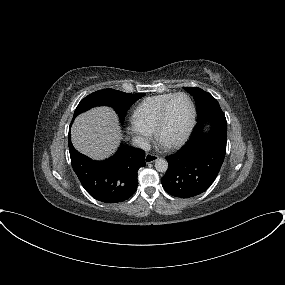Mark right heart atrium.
<instances>
[{"mask_svg": "<svg viewBox=\"0 0 285 285\" xmlns=\"http://www.w3.org/2000/svg\"><path fill=\"white\" fill-rule=\"evenodd\" d=\"M129 131L134 135L137 143L141 146H144L152 137V130L141 125L133 118L129 121L128 125Z\"/></svg>", "mask_w": 285, "mask_h": 285, "instance_id": "right-heart-atrium-1", "label": "right heart atrium"}]
</instances>
